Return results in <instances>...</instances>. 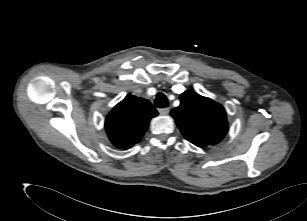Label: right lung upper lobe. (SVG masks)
<instances>
[{"label":"right lung upper lobe","instance_id":"right-lung-upper-lobe-1","mask_svg":"<svg viewBox=\"0 0 307 221\" xmlns=\"http://www.w3.org/2000/svg\"><path fill=\"white\" fill-rule=\"evenodd\" d=\"M157 115L158 112L148 100L127 95L106 118L108 137L116 147L128 149L140 141L150 119Z\"/></svg>","mask_w":307,"mask_h":221}]
</instances>
